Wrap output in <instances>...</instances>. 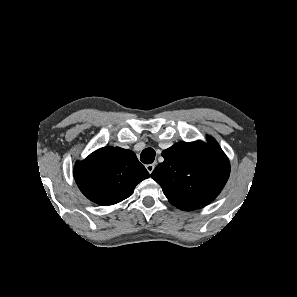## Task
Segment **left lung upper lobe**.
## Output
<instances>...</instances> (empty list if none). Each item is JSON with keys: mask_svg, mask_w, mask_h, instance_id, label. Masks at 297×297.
Returning a JSON list of instances; mask_svg holds the SVG:
<instances>
[{"mask_svg": "<svg viewBox=\"0 0 297 297\" xmlns=\"http://www.w3.org/2000/svg\"><path fill=\"white\" fill-rule=\"evenodd\" d=\"M164 162L151 177L162 187L177 208L191 211L213 201L230 174V163L217 141L208 137V145L178 142L162 152Z\"/></svg>", "mask_w": 297, "mask_h": 297, "instance_id": "5c2ea615", "label": "left lung upper lobe"}]
</instances>
